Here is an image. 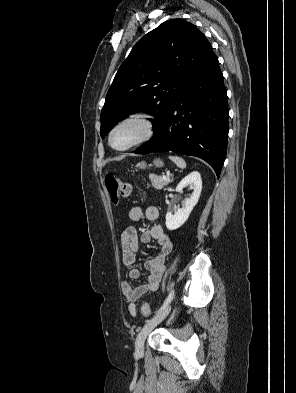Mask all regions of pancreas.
<instances>
[{"label": "pancreas", "instance_id": "1", "mask_svg": "<svg viewBox=\"0 0 296 393\" xmlns=\"http://www.w3.org/2000/svg\"><path fill=\"white\" fill-rule=\"evenodd\" d=\"M149 178L151 180L153 187L158 190H161L164 186L168 184V181L163 180L162 177L151 175Z\"/></svg>", "mask_w": 296, "mask_h": 393}]
</instances>
